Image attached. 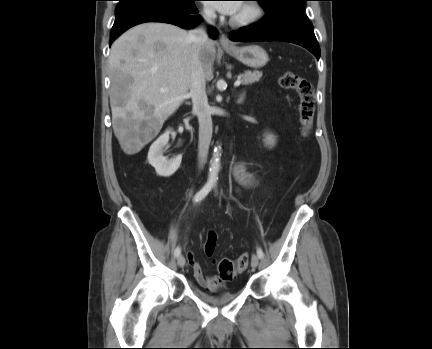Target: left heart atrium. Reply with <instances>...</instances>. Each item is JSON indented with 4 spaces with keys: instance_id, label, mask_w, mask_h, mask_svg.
Masks as SVG:
<instances>
[{
    "instance_id": "39dd6f15",
    "label": "left heart atrium",
    "mask_w": 432,
    "mask_h": 349,
    "mask_svg": "<svg viewBox=\"0 0 432 349\" xmlns=\"http://www.w3.org/2000/svg\"><path fill=\"white\" fill-rule=\"evenodd\" d=\"M211 7L226 15H235L239 10L241 4L239 1H223L216 3H209Z\"/></svg>"
}]
</instances>
